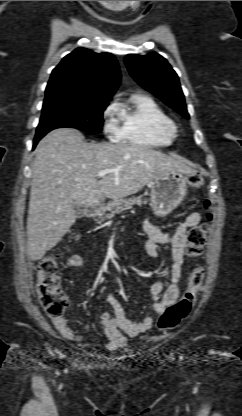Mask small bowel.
Here are the masks:
<instances>
[{
    "mask_svg": "<svg viewBox=\"0 0 242 416\" xmlns=\"http://www.w3.org/2000/svg\"><path fill=\"white\" fill-rule=\"evenodd\" d=\"M201 221V216L197 212H191L181 222L177 223L170 232H163L156 228L150 220H145L143 230L148 236L142 255L155 257L159 244H169L172 248L173 266L171 273V283L165 285L162 280L155 282L150 290L152 299V315L146 316L140 322H133L126 318L123 308L118 299L112 294L107 295V302L113 310V314L104 312L101 315V325L108 339L106 348L110 351L120 349L126 345L127 337H135L148 331L154 323V315H161L169 305L173 304L179 296V281L184 262V251L187 244V231ZM92 259L79 255H72L67 260L69 267H82ZM51 320L61 335L82 346H88L91 338L85 334H79L68 326L64 317L53 318Z\"/></svg>",
    "mask_w": 242,
    "mask_h": 416,
    "instance_id": "c3829d8e",
    "label": "small bowel"
}]
</instances>
